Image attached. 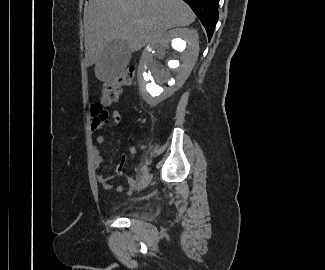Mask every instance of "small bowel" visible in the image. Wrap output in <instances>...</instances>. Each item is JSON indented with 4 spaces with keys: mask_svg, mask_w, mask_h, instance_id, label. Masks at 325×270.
Segmentation results:
<instances>
[{
    "mask_svg": "<svg viewBox=\"0 0 325 270\" xmlns=\"http://www.w3.org/2000/svg\"><path fill=\"white\" fill-rule=\"evenodd\" d=\"M110 109V104L109 103H95L91 107V112L93 115V121H92V130L96 131L99 130L105 123L109 121L110 117V112L107 111ZM112 118H113V123H118L121 119V114L118 110H114L112 112ZM105 142V139L102 135H97L95 137V146L93 148V159H94V166L96 169H99L101 164L104 161V157L100 150L98 149V145H103ZM134 150L131 148V153H133ZM127 156H123L118 163L116 167V172L119 175H122L124 173L125 165L127 163ZM97 181L101 184V186L105 190H110L111 189V182H110V177H107L103 175L102 173H97L96 175ZM136 179L132 176H129L127 178V183L130 189H133L136 186ZM124 187L122 185H118L116 187V190L118 192L123 191Z\"/></svg>",
    "mask_w": 325,
    "mask_h": 270,
    "instance_id": "1",
    "label": "small bowel"
}]
</instances>
